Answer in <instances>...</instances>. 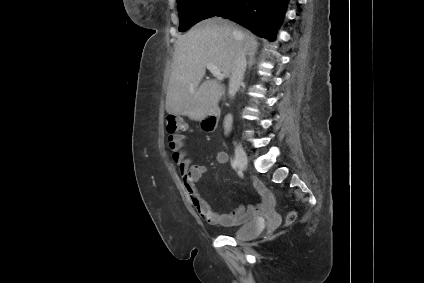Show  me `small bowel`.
Segmentation results:
<instances>
[{
  "mask_svg": "<svg viewBox=\"0 0 424 283\" xmlns=\"http://www.w3.org/2000/svg\"><path fill=\"white\" fill-rule=\"evenodd\" d=\"M186 142L187 136L184 134H171L168 137V146L172 151V158L178 166L179 174L189 201L196 209L199 216L211 225L227 227L236 226L248 220L256 210L254 206H239L232 212L220 214L214 211L203 198L202 194L196 188V183L206 173L207 168L203 165L193 164V160L188 156V151L185 150ZM216 160L221 165L227 164L229 155L225 151H220L216 154ZM254 186L262 197L260 207H271L274 200L265 185L255 180Z\"/></svg>",
  "mask_w": 424,
  "mask_h": 283,
  "instance_id": "obj_1",
  "label": "small bowel"
}]
</instances>
